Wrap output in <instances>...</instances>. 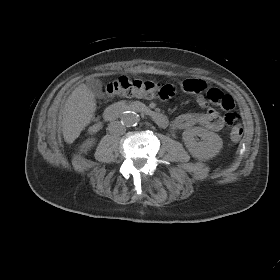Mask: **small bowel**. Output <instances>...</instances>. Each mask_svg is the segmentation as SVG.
<instances>
[{
    "instance_id": "c3829d8e",
    "label": "small bowel",
    "mask_w": 280,
    "mask_h": 280,
    "mask_svg": "<svg viewBox=\"0 0 280 280\" xmlns=\"http://www.w3.org/2000/svg\"><path fill=\"white\" fill-rule=\"evenodd\" d=\"M179 88L186 93L195 96L197 104L207 108L208 99L203 94L207 83L201 79H184L179 82ZM195 125L203 126L211 131H220L225 127L224 118L212 108H207L200 113H184L169 121L168 127L173 130H183Z\"/></svg>"
}]
</instances>
